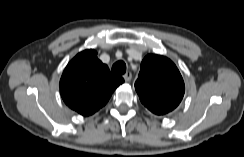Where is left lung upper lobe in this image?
I'll return each mask as SVG.
<instances>
[{
	"label": "left lung upper lobe",
	"mask_w": 244,
	"mask_h": 157,
	"mask_svg": "<svg viewBox=\"0 0 244 157\" xmlns=\"http://www.w3.org/2000/svg\"><path fill=\"white\" fill-rule=\"evenodd\" d=\"M135 89L145 107L154 114L164 115L179 105L185 86L179 70L170 59L149 54L141 63Z\"/></svg>",
	"instance_id": "left-lung-upper-lobe-1"
}]
</instances>
